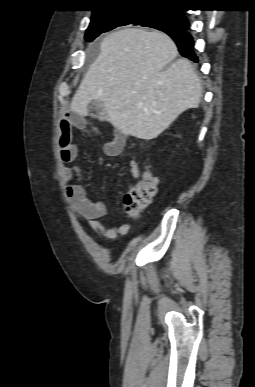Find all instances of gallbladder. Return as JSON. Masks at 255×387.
<instances>
[{
	"instance_id": "bac80fb5",
	"label": "gallbladder",
	"mask_w": 255,
	"mask_h": 387,
	"mask_svg": "<svg viewBox=\"0 0 255 387\" xmlns=\"http://www.w3.org/2000/svg\"><path fill=\"white\" fill-rule=\"evenodd\" d=\"M94 104L96 105V106H100L101 104L99 103V102H94Z\"/></svg>"
}]
</instances>
